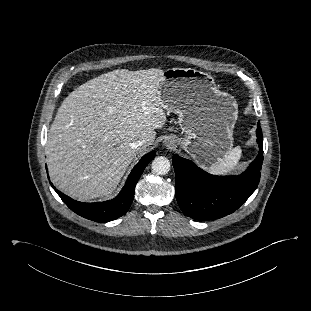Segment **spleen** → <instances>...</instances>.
<instances>
[{
    "label": "spleen",
    "instance_id": "3e777b00",
    "mask_svg": "<svg viewBox=\"0 0 311 311\" xmlns=\"http://www.w3.org/2000/svg\"><path fill=\"white\" fill-rule=\"evenodd\" d=\"M242 150L240 147L233 148L222 160L212 165L209 172L216 175L228 174L233 172L239 164Z\"/></svg>",
    "mask_w": 311,
    "mask_h": 311
}]
</instances>
